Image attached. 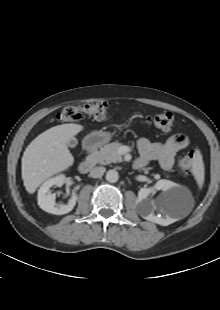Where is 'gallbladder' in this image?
<instances>
[{
	"instance_id": "gallbladder-1",
	"label": "gallbladder",
	"mask_w": 220,
	"mask_h": 310,
	"mask_svg": "<svg viewBox=\"0 0 220 310\" xmlns=\"http://www.w3.org/2000/svg\"><path fill=\"white\" fill-rule=\"evenodd\" d=\"M77 144H78V141H77V139H76L75 137H72V138H70V139L68 140V146H69L70 148L76 147Z\"/></svg>"
}]
</instances>
